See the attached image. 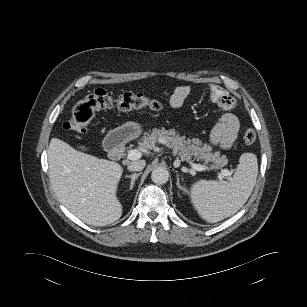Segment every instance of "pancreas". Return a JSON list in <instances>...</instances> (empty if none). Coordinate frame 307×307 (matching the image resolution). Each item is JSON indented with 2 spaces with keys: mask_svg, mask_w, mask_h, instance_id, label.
Here are the masks:
<instances>
[{
  "mask_svg": "<svg viewBox=\"0 0 307 307\" xmlns=\"http://www.w3.org/2000/svg\"><path fill=\"white\" fill-rule=\"evenodd\" d=\"M157 143L171 148L174 155L188 163L195 159L203 161L204 164H210L212 169H220L228 163L225 155H221L219 151L213 153V148L207 143L197 138L186 139L185 136H180L175 129L161 128L153 129L150 133L146 132L139 145L143 148L154 149Z\"/></svg>",
  "mask_w": 307,
  "mask_h": 307,
  "instance_id": "1",
  "label": "pancreas"
}]
</instances>
